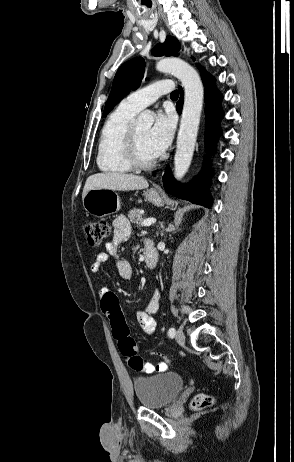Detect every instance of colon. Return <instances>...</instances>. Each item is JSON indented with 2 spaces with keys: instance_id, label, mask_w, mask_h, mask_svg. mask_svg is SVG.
Returning a JSON list of instances; mask_svg holds the SVG:
<instances>
[{
  "instance_id": "colon-1",
  "label": "colon",
  "mask_w": 294,
  "mask_h": 462,
  "mask_svg": "<svg viewBox=\"0 0 294 462\" xmlns=\"http://www.w3.org/2000/svg\"><path fill=\"white\" fill-rule=\"evenodd\" d=\"M83 231L86 235L88 244L92 247H99L109 236L110 228L105 221L86 220L83 223ZM101 308L110 321L113 335L118 340L120 351L127 359L129 366L133 370L140 369L143 360L136 353L135 341L130 336V331L121 311L119 300L112 291L102 297ZM212 404L213 398L204 394L196 396L192 401V406L195 409H203Z\"/></svg>"
}]
</instances>
